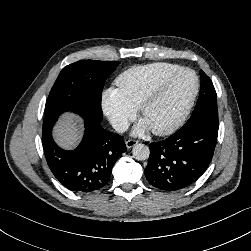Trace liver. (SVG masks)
Wrapping results in <instances>:
<instances>
[{
  "label": "liver",
  "mask_w": 251,
  "mask_h": 251,
  "mask_svg": "<svg viewBox=\"0 0 251 251\" xmlns=\"http://www.w3.org/2000/svg\"><path fill=\"white\" fill-rule=\"evenodd\" d=\"M81 125L75 117L69 113L62 116L54 130L57 143L66 149L72 148L81 137Z\"/></svg>",
  "instance_id": "obj_1"
}]
</instances>
